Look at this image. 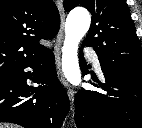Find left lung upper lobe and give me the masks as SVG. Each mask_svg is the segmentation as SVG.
Returning a JSON list of instances; mask_svg holds the SVG:
<instances>
[{
    "label": "left lung upper lobe",
    "mask_w": 142,
    "mask_h": 128,
    "mask_svg": "<svg viewBox=\"0 0 142 128\" xmlns=\"http://www.w3.org/2000/svg\"><path fill=\"white\" fill-rule=\"evenodd\" d=\"M82 6L92 15L83 45L93 47L104 68L142 76V51L125 0H64L69 12Z\"/></svg>",
    "instance_id": "obj_1"
}]
</instances>
